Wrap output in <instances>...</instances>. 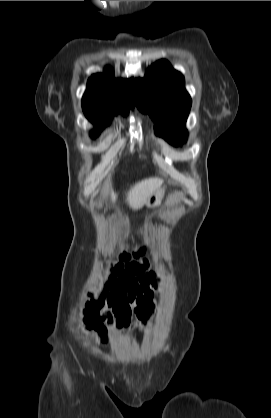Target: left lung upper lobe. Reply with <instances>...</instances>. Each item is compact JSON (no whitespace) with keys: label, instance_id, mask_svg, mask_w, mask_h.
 Listing matches in <instances>:
<instances>
[{"label":"left lung upper lobe","instance_id":"left-lung-upper-lobe-1","mask_svg":"<svg viewBox=\"0 0 271 418\" xmlns=\"http://www.w3.org/2000/svg\"><path fill=\"white\" fill-rule=\"evenodd\" d=\"M136 86L137 106L151 116L156 134L174 146L184 143L191 98L183 75L166 60H160L148 69L143 79H136Z\"/></svg>","mask_w":271,"mask_h":418}]
</instances>
